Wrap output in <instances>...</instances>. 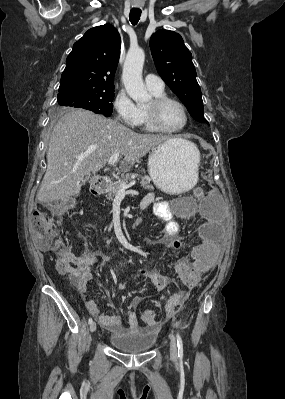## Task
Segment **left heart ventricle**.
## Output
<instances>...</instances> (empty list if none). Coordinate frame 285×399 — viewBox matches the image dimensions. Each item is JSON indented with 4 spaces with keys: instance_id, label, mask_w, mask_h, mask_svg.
<instances>
[{
    "instance_id": "b2bd125f",
    "label": "left heart ventricle",
    "mask_w": 285,
    "mask_h": 399,
    "mask_svg": "<svg viewBox=\"0 0 285 399\" xmlns=\"http://www.w3.org/2000/svg\"><path fill=\"white\" fill-rule=\"evenodd\" d=\"M150 104L151 102L148 106ZM160 116L162 124L168 128H177L184 123V115L181 108L173 102H168L163 106Z\"/></svg>"
}]
</instances>
